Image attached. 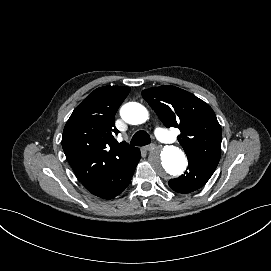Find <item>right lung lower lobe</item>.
<instances>
[{"instance_id": "98d812e1", "label": "right lung lower lobe", "mask_w": 271, "mask_h": 271, "mask_svg": "<svg viewBox=\"0 0 271 271\" xmlns=\"http://www.w3.org/2000/svg\"><path fill=\"white\" fill-rule=\"evenodd\" d=\"M140 158L138 149L126 160L113 165L94 185L86 189L100 198L113 199L129 185Z\"/></svg>"}]
</instances>
